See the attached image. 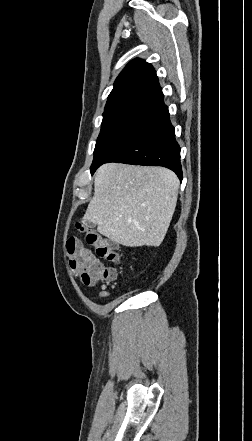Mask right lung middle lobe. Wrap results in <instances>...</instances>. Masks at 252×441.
<instances>
[{
	"label": "right lung middle lobe",
	"mask_w": 252,
	"mask_h": 441,
	"mask_svg": "<svg viewBox=\"0 0 252 441\" xmlns=\"http://www.w3.org/2000/svg\"><path fill=\"white\" fill-rule=\"evenodd\" d=\"M146 103L136 101L104 111L91 169L103 163L123 142L142 115Z\"/></svg>",
	"instance_id": "1"
}]
</instances>
